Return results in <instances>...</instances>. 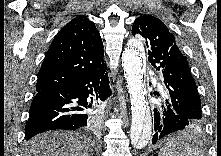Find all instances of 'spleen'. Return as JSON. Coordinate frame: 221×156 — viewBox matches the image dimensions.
I'll use <instances>...</instances> for the list:
<instances>
[{
	"label": "spleen",
	"mask_w": 221,
	"mask_h": 156,
	"mask_svg": "<svg viewBox=\"0 0 221 156\" xmlns=\"http://www.w3.org/2000/svg\"><path fill=\"white\" fill-rule=\"evenodd\" d=\"M159 156H201V152L180 137H174L160 150Z\"/></svg>",
	"instance_id": "spleen-1"
}]
</instances>
